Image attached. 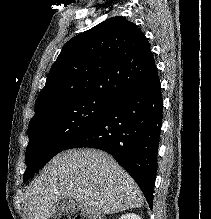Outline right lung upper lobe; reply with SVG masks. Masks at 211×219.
<instances>
[{"mask_svg":"<svg viewBox=\"0 0 211 219\" xmlns=\"http://www.w3.org/2000/svg\"><path fill=\"white\" fill-rule=\"evenodd\" d=\"M156 71L142 31L122 16L112 17L64 45L36 100L32 119L73 99L115 101L145 84Z\"/></svg>","mask_w":211,"mask_h":219,"instance_id":"1","label":"right lung upper lobe"}]
</instances>
